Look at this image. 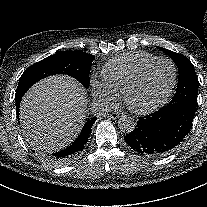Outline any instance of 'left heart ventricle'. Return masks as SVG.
<instances>
[{
  "mask_svg": "<svg viewBox=\"0 0 207 207\" xmlns=\"http://www.w3.org/2000/svg\"><path fill=\"white\" fill-rule=\"evenodd\" d=\"M173 77V68L167 62H159L151 67L142 83L131 93L130 104L140 110L165 100Z\"/></svg>",
  "mask_w": 207,
  "mask_h": 207,
  "instance_id": "1",
  "label": "left heart ventricle"
}]
</instances>
